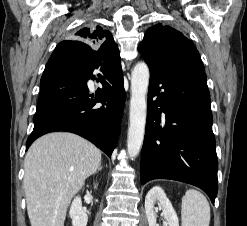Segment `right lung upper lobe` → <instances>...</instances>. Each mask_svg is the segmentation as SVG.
Segmentation results:
<instances>
[{"instance_id":"obj_1","label":"right lung upper lobe","mask_w":247,"mask_h":226,"mask_svg":"<svg viewBox=\"0 0 247 226\" xmlns=\"http://www.w3.org/2000/svg\"><path fill=\"white\" fill-rule=\"evenodd\" d=\"M74 39L91 47H99L101 50H114L115 57L120 60L117 45L112 34L100 26L90 25L83 27L74 33Z\"/></svg>"}]
</instances>
